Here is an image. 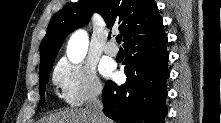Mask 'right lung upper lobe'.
I'll return each instance as SVG.
<instances>
[{
	"label": "right lung upper lobe",
	"instance_id": "right-lung-upper-lobe-1",
	"mask_svg": "<svg viewBox=\"0 0 221 123\" xmlns=\"http://www.w3.org/2000/svg\"><path fill=\"white\" fill-rule=\"evenodd\" d=\"M94 12L104 18L108 28L118 27L124 48L132 42L154 37L164 31L154 0H79L65 6L52 17L41 44L40 70L54 61L65 37L88 23Z\"/></svg>",
	"mask_w": 221,
	"mask_h": 123
}]
</instances>
